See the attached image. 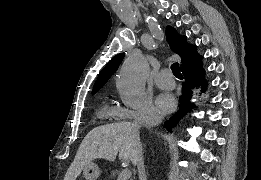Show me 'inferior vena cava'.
Here are the masks:
<instances>
[{
    "label": "inferior vena cava",
    "mask_w": 261,
    "mask_h": 180,
    "mask_svg": "<svg viewBox=\"0 0 261 180\" xmlns=\"http://www.w3.org/2000/svg\"><path fill=\"white\" fill-rule=\"evenodd\" d=\"M138 130V128H137ZM133 166H137L138 168V174L141 176V178H144V162H143V154H142V148L138 150L135 158L131 160Z\"/></svg>",
    "instance_id": "602c4592"
}]
</instances>
